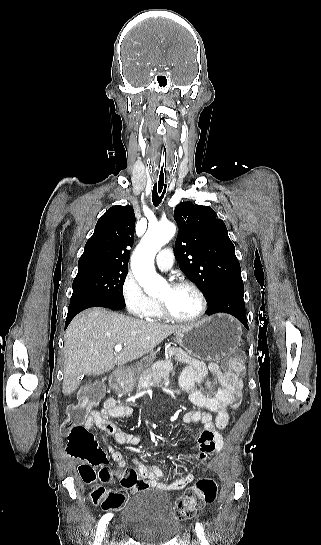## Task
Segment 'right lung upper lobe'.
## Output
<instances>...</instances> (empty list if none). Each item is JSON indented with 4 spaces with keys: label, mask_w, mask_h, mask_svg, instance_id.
<instances>
[{
    "label": "right lung upper lobe",
    "mask_w": 321,
    "mask_h": 545,
    "mask_svg": "<svg viewBox=\"0 0 321 545\" xmlns=\"http://www.w3.org/2000/svg\"><path fill=\"white\" fill-rule=\"evenodd\" d=\"M135 215L131 206H112L99 218L87 241L78 268L103 266L128 268L129 250L134 242Z\"/></svg>",
    "instance_id": "right-lung-upper-lobe-1"
}]
</instances>
